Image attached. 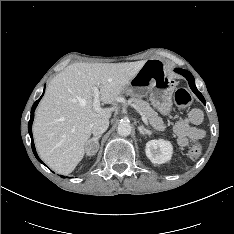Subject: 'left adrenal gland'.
<instances>
[{
	"label": "left adrenal gland",
	"mask_w": 234,
	"mask_h": 234,
	"mask_svg": "<svg viewBox=\"0 0 234 234\" xmlns=\"http://www.w3.org/2000/svg\"><path fill=\"white\" fill-rule=\"evenodd\" d=\"M138 130H139L140 134L143 136H145V135L150 136L152 134V132L150 130L146 129L144 126H139Z\"/></svg>",
	"instance_id": "obj_1"
}]
</instances>
